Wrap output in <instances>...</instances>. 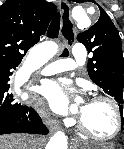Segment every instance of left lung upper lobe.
<instances>
[{
	"label": "left lung upper lobe",
	"mask_w": 124,
	"mask_h": 149,
	"mask_svg": "<svg viewBox=\"0 0 124 149\" xmlns=\"http://www.w3.org/2000/svg\"><path fill=\"white\" fill-rule=\"evenodd\" d=\"M73 2L83 1L73 0ZM77 40L86 46L88 53L92 54L87 66L90 79L105 93L114 97L122 112L124 59L121 38L101 7L99 20L90 29L80 33Z\"/></svg>",
	"instance_id": "left-lung-upper-lobe-1"
}]
</instances>
